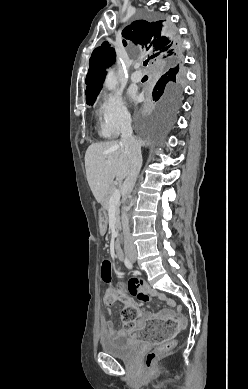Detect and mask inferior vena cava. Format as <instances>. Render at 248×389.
Segmentation results:
<instances>
[{
    "instance_id": "inferior-vena-cava-1",
    "label": "inferior vena cava",
    "mask_w": 248,
    "mask_h": 389,
    "mask_svg": "<svg viewBox=\"0 0 248 389\" xmlns=\"http://www.w3.org/2000/svg\"><path fill=\"white\" fill-rule=\"evenodd\" d=\"M120 143L124 146L130 161V170L123 183L125 203L127 196L130 195L134 188L142 166L141 146L140 143L132 135V126L130 118H127L122 125V135ZM126 211L127 208L126 206H124L121 216L124 234V248L126 252L135 253L136 248L131 237L129 229V219Z\"/></svg>"
}]
</instances>
